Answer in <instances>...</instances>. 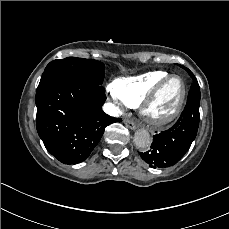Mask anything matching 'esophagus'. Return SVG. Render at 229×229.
I'll return each instance as SVG.
<instances>
[{"mask_svg":"<svg viewBox=\"0 0 229 229\" xmlns=\"http://www.w3.org/2000/svg\"><path fill=\"white\" fill-rule=\"evenodd\" d=\"M124 124L126 125V127H128L131 130H136L137 128V124L134 123L132 120L130 119H125L124 120Z\"/></svg>","mask_w":229,"mask_h":229,"instance_id":"obj_1","label":"esophagus"}]
</instances>
